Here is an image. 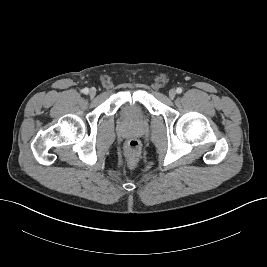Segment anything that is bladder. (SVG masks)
Listing matches in <instances>:
<instances>
[{
    "label": "bladder",
    "mask_w": 267,
    "mask_h": 267,
    "mask_svg": "<svg viewBox=\"0 0 267 267\" xmlns=\"http://www.w3.org/2000/svg\"><path fill=\"white\" fill-rule=\"evenodd\" d=\"M142 109L137 104H127L122 108V114L128 118H138Z\"/></svg>",
    "instance_id": "obj_1"
}]
</instances>
